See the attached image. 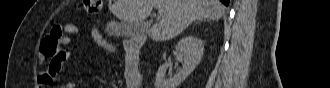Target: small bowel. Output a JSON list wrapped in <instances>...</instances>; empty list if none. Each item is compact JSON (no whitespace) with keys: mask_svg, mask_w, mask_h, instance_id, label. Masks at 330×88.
I'll return each mask as SVG.
<instances>
[{"mask_svg":"<svg viewBox=\"0 0 330 88\" xmlns=\"http://www.w3.org/2000/svg\"><path fill=\"white\" fill-rule=\"evenodd\" d=\"M63 30L65 32V35L59 40L60 46L69 45L75 40V38L79 34L78 27L72 23L65 24L63 26ZM108 50H112V47ZM45 55L46 53L41 49V52L39 54L40 63H42V61L44 60ZM71 57H72V52L70 50L61 49L60 55L57 56L55 59V66H52L51 63L46 70L40 72L38 76V83L40 84V86L51 85L56 80L57 74L61 69V65L64 64L67 60H69ZM131 69L132 67L126 64V71ZM74 87L75 84L73 82H68L62 86V88H74Z\"/></svg>","mask_w":330,"mask_h":88,"instance_id":"1","label":"small bowel"}]
</instances>
